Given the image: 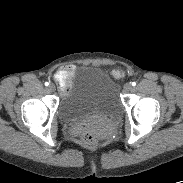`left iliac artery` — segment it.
Masks as SVG:
<instances>
[{"label": "left iliac artery", "instance_id": "obj_1", "mask_svg": "<svg viewBox=\"0 0 183 183\" xmlns=\"http://www.w3.org/2000/svg\"><path fill=\"white\" fill-rule=\"evenodd\" d=\"M132 86H136V82H132Z\"/></svg>", "mask_w": 183, "mask_h": 183}]
</instances>
